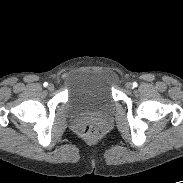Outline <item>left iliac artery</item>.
Returning a JSON list of instances; mask_svg holds the SVG:
<instances>
[{"mask_svg":"<svg viewBox=\"0 0 183 183\" xmlns=\"http://www.w3.org/2000/svg\"><path fill=\"white\" fill-rule=\"evenodd\" d=\"M137 86H138L137 82H134L133 87H137Z\"/></svg>","mask_w":183,"mask_h":183,"instance_id":"obj_1","label":"left iliac artery"}]
</instances>
